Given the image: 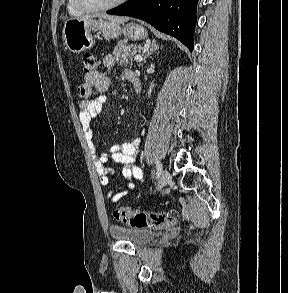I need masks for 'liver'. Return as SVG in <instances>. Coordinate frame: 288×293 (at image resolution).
I'll use <instances>...</instances> for the list:
<instances>
[{
  "label": "liver",
  "instance_id": "liver-1",
  "mask_svg": "<svg viewBox=\"0 0 288 293\" xmlns=\"http://www.w3.org/2000/svg\"><path fill=\"white\" fill-rule=\"evenodd\" d=\"M81 19H89V18H102L106 19L108 21H113L116 23H124L129 20L128 17H119V16H111L106 14H94V15H86L83 17H80Z\"/></svg>",
  "mask_w": 288,
  "mask_h": 293
}]
</instances>
